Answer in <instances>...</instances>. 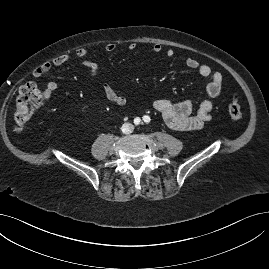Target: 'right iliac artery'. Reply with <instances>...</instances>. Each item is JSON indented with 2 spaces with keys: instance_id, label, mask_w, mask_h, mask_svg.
I'll list each match as a JSON object with an SVG mask.
<instances>
[{
  "instance_id": "obj_1",
  "label": "right iliac artery",
  "mask_w": 269,
  "mask_h": 269,
  "mask_svg": "<svg viewBox=\"0 0 269 269\" xmlns=\"http://www.w3.org/2000/svg\"><path fill=\"white\" fill-rule=\"evenodd\" d=\"M140 118L139 117H137V118H135L134 119V123L136 124V125H138V124H140Z\"/></svg>"
}]
</instances>
